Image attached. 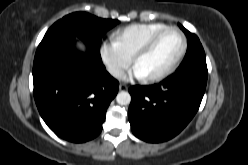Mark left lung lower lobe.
<instances>
[{
  "mask_svg": "<svg viewBox=\"0 0 248 165\" xmlns=\"http://www.w3.org/2000/svg\"><path fill=\"white\" fill-rule=\"evenodd\" d=\"M208 70L196 60L157 85L133 86L128 117L132 132L146 142H163L179 134L196 114Z\"/></svg>",
  "mask_w": 248,
  "mask_h": 165,
  "instance_id": "0a47b994",
  "label": "left lung lower lobe"
}]
</instances>
